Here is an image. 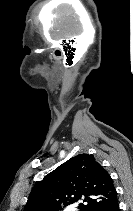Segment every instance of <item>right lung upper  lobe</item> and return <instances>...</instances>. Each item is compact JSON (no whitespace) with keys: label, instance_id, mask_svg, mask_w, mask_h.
<instances>
[{"label":"right lung upper lobe","instance_id":"obj_1","mask_svg":"<svg viewBox=\"0 0 133 211\" xmlns=\"http://www.w3.org/2000/svg\"><path fill=\"white\" fill-rule=\"evenodd\" d=\"M81 198V211H105L117 203L110 175L88 154L69 159L38 182L24 211H62Z\"/></svg>","mask_w":133,"mask_h":211}]
</instances>
